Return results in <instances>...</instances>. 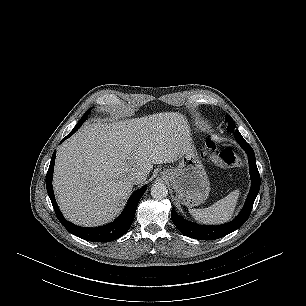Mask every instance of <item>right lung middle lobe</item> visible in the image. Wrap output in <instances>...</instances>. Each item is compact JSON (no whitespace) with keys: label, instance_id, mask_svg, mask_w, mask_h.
<instances>
[{"label":"right lung middle lobe","instance_id":"1","mask_svg":"<svg viewBox=\"0 0 306 306\" xmlns=\"http://www.w3.org/2000/svg\"><path fill=\"white\" fill-rule=\"evenodd\" d=\"M92 108H90V109H88L85 113H84V115L82 116V118L80 119V121L76 124V126L74 127V129L72 130V131H76L77 129H79V127L82 125V123L85 121V119L87 118V116H88V114H89V112H90V110H91Z\"/></svg>","mask_w":306,"mask_h":306}]
</instances>
